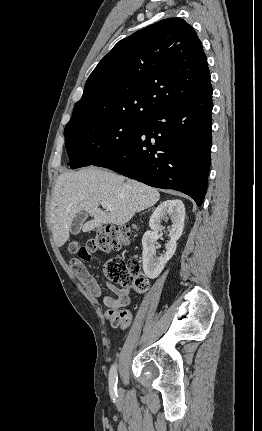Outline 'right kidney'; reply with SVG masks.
<instances>
[{"mask_svg":"<svg viewBox=\"0 0 262 431\" xmlns=\"http://www.w3.org/2000/svg\"><path fill=\"white\" fill-rule=\"evenodd\" d=\"M172 220L169 231L170 241L166 244V253L163 257H156L154 242L160 237L162 220ZM185 207L181 200H166L153 212L149 220L151 231H147L142 239L143 246V270L146 276L154 279L160 275L166 263L172 258L176 251L177 240L181 237L184 228Z\"/></svg>","mask_w":262,"mask_h":431,"instance_id":"1","label":"right kidney"}]
</instances>
